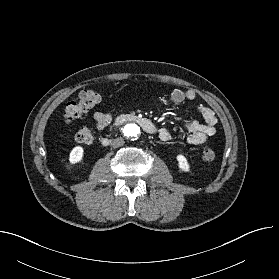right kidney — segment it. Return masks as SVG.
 Listing matches in <instances>:
<instances>
[{
  "label": "right kidney",
  "mask_w": 279,
  "mask_h": 279,
  "mask_svg": "<svg viewBox=\"0 0 279 279\" xmlns=\"http://www.w3.org/2000/svg\"><path fill=\"white\" fill-rule=\"evenodd\" d=\"M83 156H84V149L80 146H77L73 148V150L71 151L69 156V161L71 164L79 163L83 159Z\"/></svg>",
  "instance_id": "obj_1"
}]
</instances>
